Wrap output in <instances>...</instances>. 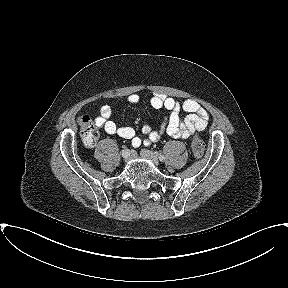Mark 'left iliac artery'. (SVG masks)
<instances>
[{
	"instance_id": "left-iliac-artery-1",
	"label": "left iliac artery",
	"mask_w": 288,
	"mask_h": 288,
	"mask_svg": "<svg viewBox=\"0 0 288 288\" xmlns=\"http://www.w3.org/2000/svg\"><path fill=\"white\" fill-rule=\"evenodd\" d=\"M157 155H158L160 161H164V160H165V157H164L162 154H158V153H157Z\"/></svg>"
}]
</instances>
